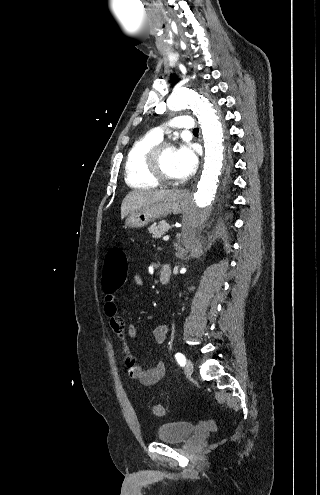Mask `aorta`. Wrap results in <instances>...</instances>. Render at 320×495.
<instances>
[{
	"label": "aorta",
	"mask_w": 320,
	"mask_h": 495,
	"mask_svg": "<svg viewBox=\"0 0 320 495\" xmlns=\"http://www.w3.org/2000/svg\"><path fill=\"white\" fill-rule=\"evenodd\" d=\"M172 111L192 109L204 137V168L189 210L184 215L182 242L191 244L214 209V195L219 182L224 153V133L217 108L200 92L177 89L167 100Z\"/></svg>",
	"instance_id": "762f6f07"
}]
</instances>
